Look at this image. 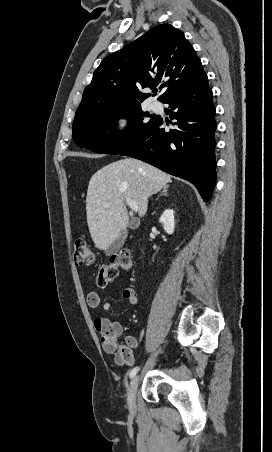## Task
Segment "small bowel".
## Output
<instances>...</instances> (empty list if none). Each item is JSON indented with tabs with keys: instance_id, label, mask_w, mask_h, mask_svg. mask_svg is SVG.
I'll return each mask as SVG.
<instances>
[{
	"instance_id": "c3829d8e",
	"label": "small bowel",
	"mask_w": 272,
	"mask_h": 452,
	"mask_svg": "<svg viewBox=\"0 0 272 452\" xmlns=\"http://www.w3.org/2000/svg\"><path fill=\"white\" fill-rule=\"evenodd\" d=\"M122 297L127 300L131 305L138 304V297L133 288L128 287L122 291ZM86 302L89 310L96 311L100 304L101 299L100 295L91 291L87 294ZM112 308V304L110 302H105L102 304V309L104 311H110ZM94 328L97 332L101 334V344L105 351L110 352L114 349L115 343L122 337L123 328L120 323L112 322L108 318L105 317H95L93 322ZM126 341L134 342L133 338H126ZM110 344H113V347H110Z\"/></svg>"
}]
</instances>
